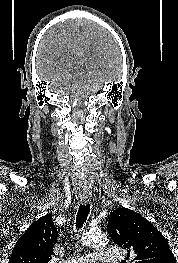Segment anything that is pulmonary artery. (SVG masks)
I'll list each match as a JSON object with an SVG mask.
<instances>
[{
	"instance_id": "obj_1",
	"label": "pulmonary artery",
	"mask_w": 178,
	"mask_h": 263,
	"mask_svg": "<svg viewBox=\"0 0 178 263\" xmlns=\"http://www.w3.org/2000/svg\"><path fill=\"white\" fill-rule=\"evenodd\" d=\"M125 253L119 248H103L95 254H86L76 258H72L66 263H92L95 258L102 261L117 263L124 259Z\"/></svg>"
}]
</instances>
